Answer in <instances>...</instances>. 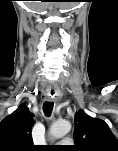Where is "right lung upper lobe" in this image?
I'll use <instances>...</instances> for the list:
<instances>
[{
  "instance_id": "right-lung-upper-lobe-1",
  "label": "right lung upper lobe",
  "mask_w": 118,
  "mask_h": 151,
  "mask_svg": "<svg viewBox=\"0 0 118 151\" xmlns=\"http://www.w3.org/2000/svg\"><path fill=\"white\" fill-rule=\"evenodd\" d=\"M33 116L24 104L0 122V151H31L34 149L31 129Z\"/></svg>"
}]
</instances>
